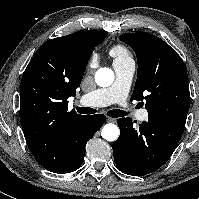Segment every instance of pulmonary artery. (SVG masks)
<instances>
[{
	"instance_id": "e3ab8cb5",
	"label": "pulmonary artery",
	"mask_w": 199,
	"mask_h": 199,
	"mask_svg": "<svg viewBox=\"0 0 199 199\" xmlns=\"http://www.w3.org/2000/svg\"><path fill=\"white\" fill-rule=\"evenodd\" d=\"M113 68L115 71L114 83L108 88L84 94L80 98V103L89 106H108L113 103H125L135 72V63L131 59L114 61ZM136 115L140 121L148 119V112L145 109L139 110Z\"/></svg>"
}]
</instances>
